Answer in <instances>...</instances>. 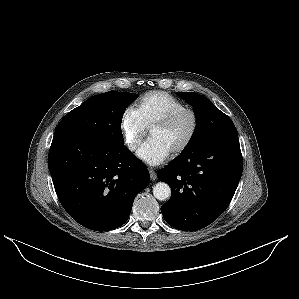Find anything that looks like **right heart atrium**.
Returning <instances> with one entry per match:
<instances>
[{
  "mask_svg": "<svg viewBox=\"0 0 299 299\" xmlns=\"http://www.w3.org/2000/svg\"><path fill=\"white\" fill-rule=\"evenodd\" d=\"M120 131L125 146L132 152L136 151L147 131L136 109L128 107L123 111L120 120Z\"/></svg>",
  "mask_w": 299,
  "mask_h": 299,
  "instance_id": "1",
  "label": "right heart atrium"
}]
</instances>
